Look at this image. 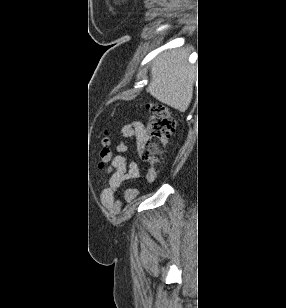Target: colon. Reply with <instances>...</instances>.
<instances>
[{
    "mask_svg": "<svg viewBox=\"0 0 286 308\" xmlns=\"http://www.w3.org/2000/svg\"><path fill=\"white\" fill-rule=\"evenodd\" d=\"M147 108L151 115L143 138L138 146L141 158L149 165L157 163L162 153L163 146L167 143L176 128V122L172 118L169 109L161 103H149ZM110 140L104 136L103 148L100 151V167L111 158L109 149Z\"/></svg>",
    "mask_w": 286,
    "mask_h": 308,
    "instance_id": "colon-1",
    "label": "colon"
}]
</instances>
